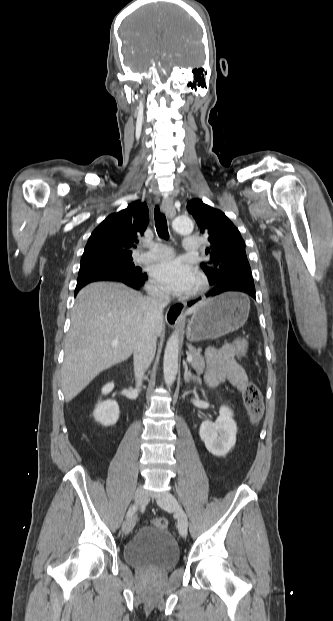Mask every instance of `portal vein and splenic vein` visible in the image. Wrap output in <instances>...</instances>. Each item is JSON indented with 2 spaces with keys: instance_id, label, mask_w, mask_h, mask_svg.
Wrapping results in <instances>:
<instances>
[{
  "instance_id": "18ae733b",
  "label": "portal vein and splenic vein",
  "mask_w": 333,
  "mask_h": 621,
  "mask_svg": "<svg viewBox=\"0 0 333 621\" xmlns=\"http://www.w3.org/2000/svg\"><path fill=\"white\" fill-rule=\"evenodd\" d=\"M114 343H116V342H114ZM192 361H193V357L191 355H188L187 356V362H192Z\"/></svg>"
}]
</instances>
